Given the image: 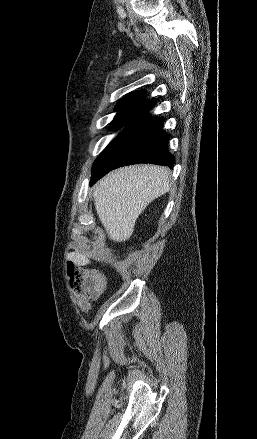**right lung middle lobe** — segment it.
I'll list each match as a JSON object with an SVG mask.
<instances>
[{
  "instance_id": "obj_1",
  "label": "right lung middle lobe",
  "mask_w": 257,
  "mask_h": 439,
  "mask_svg": "<svg viewBox=\"0 0 257 439\" xmlns=\"http://www.w3.org/2000/svg\"><path fill=\"white\" fill-rule=\"evenodd\" d=\"M127 123L125 120L115 119L111 124L112 130H118Z\"/></svg>"
}]
</instances>
